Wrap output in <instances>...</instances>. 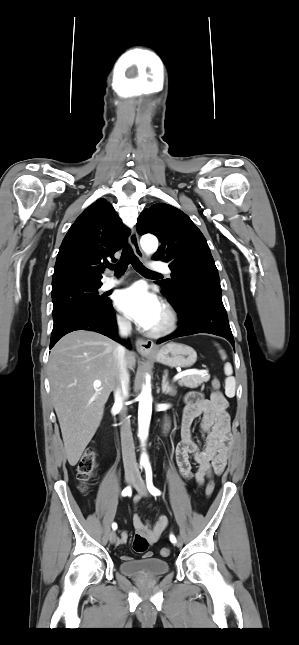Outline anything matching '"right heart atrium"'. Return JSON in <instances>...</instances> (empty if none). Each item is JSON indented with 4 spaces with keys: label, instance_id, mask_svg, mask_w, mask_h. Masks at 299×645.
<instances>
[{
    "label": "right heart atrium",
    "instance_id": "obj_1",
    "mask_svg": "<svg viewBox=\"0 0 299 645\" xmlns=\"http://www.w3.org/2000/svg\"><path fill=\"white\" fill-rule=\"evenodd\" d=\"M116 323L120 328H128L130 325L129 320L122 314L116 315Z\"/></svg>",
    "mask_w": 299,
    "mask_h": 645
}]
</instances>
